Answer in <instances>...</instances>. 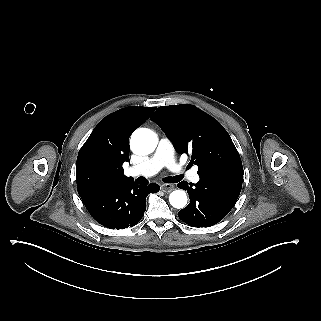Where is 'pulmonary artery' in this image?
Returning a JSON list of instances; mask_svg holds the SVG:
<instances>
[{"instance_id":"obj_1","label":"pulmonary artery","mask_w":321,"mask_h":321,"mask_svg":"<svg viewBox=\"0 0 321 321\" xmlns=\"http://www.w3.org/2000/svg\"><path fill=\"white\" fill-rule=\"evenodd\" d=\"M164 166L169 167L172 174L181 172L184 177H191L193 182H199L200 178L191 164L182 166L179 161H176L171 141L166 136L160 138L156 151L142 163V170L145 173H152Z\"/></svg>"}]
</instances>
